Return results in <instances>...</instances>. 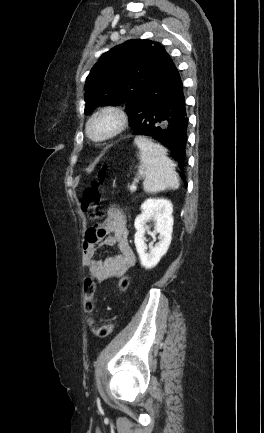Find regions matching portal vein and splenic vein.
I'll list each match as a JSON object with an SVG mask.
<instances>
[{"label": "portal vein and splenic vein", "mask_w": 264, "mask_h": 433, "mask_svg": "<svg viewBox=\"0 0 264 433\" xmlns=\"http://www.w3.org/2000/svg\"><path fill=\"white\" fill-rule=\"evenodd\" d=\"M137 189L136 185H131L130 186V191L134 192Z\"/></svg>", "instance_id": "portal-vein-and-splenic-vein-1"}]
</instances>
